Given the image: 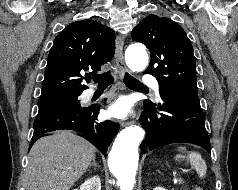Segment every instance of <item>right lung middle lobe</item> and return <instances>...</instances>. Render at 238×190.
<instances>
[{
    "label": "right lung middle lobe",
    "mask_w": 238,
    "mask_h": 190,
    "mask_svg": "<svg viewBox=\"0 0 238 190\" xmlns=\"http://www.w3.org/2000/svg\"><path fill=\"white\" fill-rule=\"evenodd\" d=\"M79 95L63 97L52 100L38 101L39 111L38 115L46 114L63 109H72L81 107L78 100Z\"/></svg>",
    "instance_id": "right-lung-middle-lobe-1"
}]
</instances>
